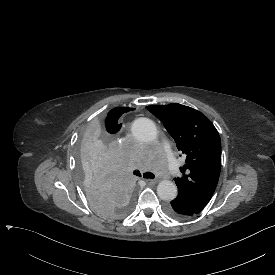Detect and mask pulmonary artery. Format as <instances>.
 Instances as JSON below:
<instances>
[{"mask_svg":"<svg viewBox=\"0 0 275 275\" xmlns=\"http://www.w3.org/2000/svg\"><path fill=\"white\" fill-rule=\"evenodd\" d=\"M164 145V149H165V153L167 156V165L170 168V172L173 174L174 177H179L180 176V171H179V167L178 164L175 162L176 158L174 157V153L172 151V147L170 145V142L168 140H165L163 142Z\"/></svg>","mask_w":275,"mask_h":275,"instance_id":"obj_1","label":"pulmonary artery"}]
</instances>
